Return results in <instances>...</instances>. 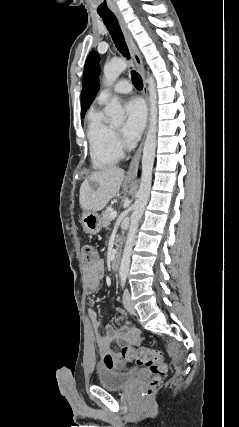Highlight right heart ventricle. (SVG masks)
Here are the masks:
<instances>
[{"label":"right heart ventricle","mask_w":239,"mask_h":427,"mask_svg":"<svg viewBox=\"0 0 239 427\" xmlns=\"http://www.w3.org/2000/svg\"><path fill=\"white\" fill-rule=\"evenodd\" d=\"M87 138L90 157L96 169L116 164L121 158V150L115 140L113 128L104 120L100 109H93L88 115Z\"/></svg>","instance_id":"e07e8e85"}]
</instances>
